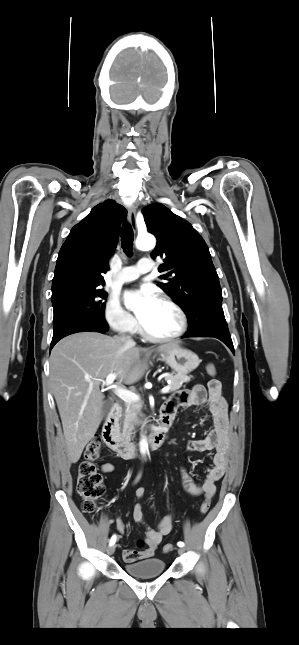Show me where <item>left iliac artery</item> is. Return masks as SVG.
<instances>
[{
  "instance_id": "obj_1",
  "label": "left iliac artery",
  "mask_w": 299,
  "mask_h": 645,
  "mask_svg": "<svg viewBox=\"0 0 299 645\" xmlns=\"http://www.w3.org/2000/svg\"><path fill=\"white\" fill-rule=\"evenodd\" d=\"M177 545H178L179 547H183V546H184V543L180 541V542H178V543H177Z\"/></svg>"
}]
</instances>
